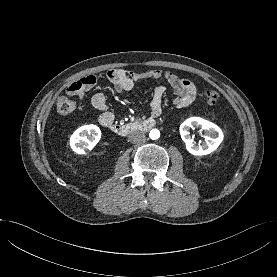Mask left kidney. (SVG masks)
<instances>
[{
	"label": "left kidney",
	"mask_w": 277,
	"mask_h": 277,
	"mask_svg": "<svg viewBox=\"0 0 277 277\" xmlns=\"http://www.w3.org/2000/svg\"><path fill=\"white\" fill-rule=\"evenodd\" d=\"M190 128H201L205 134V142L196 145L190 136ZM182 140L186 144L189 153L196 156H203L215 151L223 141L222 130L214 123L200 117H191L185 120L180 126Z\"/></svg>",
	"instance_id": "left-kidney-1"
}]
</instances>
